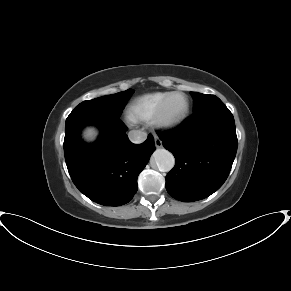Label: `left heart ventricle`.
<instances>
[{
	"mask_svg": "<svg viewBox=\"0 0 291 291\" xmlns=\"http://www.w3.org/2000/svg\"><path fill=\"white\" fill-rule=\"evenodd\" d=\"M185 109V98L182 96L173 97L167 108V118L176 119L181 116Z\"/></svg>",
	"mask_w": 291,
	"mask_h": 291,
	"instance_id": "1",
	"label": "left heart ventricle"
}]
</instances>
